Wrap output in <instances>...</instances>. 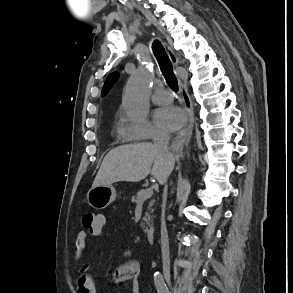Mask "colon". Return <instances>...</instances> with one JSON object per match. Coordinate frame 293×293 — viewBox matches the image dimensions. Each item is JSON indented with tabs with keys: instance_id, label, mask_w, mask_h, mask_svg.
<instances>
[{
	"instance_id": "obj_1",
	"label": "colon",
	"mask_w": 293,
	"mask_h": 293,
	"mask_svg": "<svg viewBox=\"0 0 293 293\" xmlns=\"http://www.w3.org/2000/svg\"><path fill=\"white\" fill-rule=\"evenodd\" d=\"M82 224L91 234H94L102 229L103 220L95 213L86 212L82 216Z\"/></svg>"
}]
</instances>
